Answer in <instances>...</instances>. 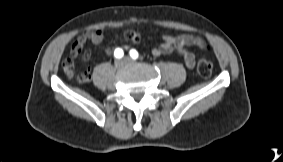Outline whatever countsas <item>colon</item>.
Listing matches in <instances>:
<instances>
[{
    "label": "colon",
    "instance_id": "colon-1",
    "mask_svg": "<svg viewBox=\"0 0 283 162\" xmlns=\"http://www.w3.org/2000/svg\"><path fill=\"white\" fill-rule=\"evenodd\" d=\"M199 43L202 49H204L205 51L209 50V46L203 40L200 39ZM212 70H213V63L211 59L207 56H203L197 64V71L199 75L204 78H207L211 75ZM74 78H76L81 83H86L90 80V74L83 72L80 74H75Z\"/></svg>",
    "mask_w": 283,
    "mask_h": 162
}]
</instances>
